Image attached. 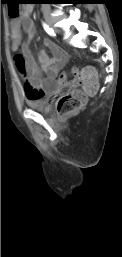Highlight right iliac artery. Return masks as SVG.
<instances>
[{
  "label": "right iliac artery",
  "mask_w": 122,
  "mask_h": 257,
  "mask_svg": "<svg viewBox=\"0 0 122 257\" xmlns=\"http://www.w3.org/2000/svg\"><path fill=\"white\" fill-rule=\"evenodd\" d=\"M43 28L50 36H54L55 35L53 29L50 28L46 23H43Z\"/></svg>",
  "instance_id": "obj_1"
}]
</instances>
